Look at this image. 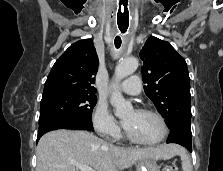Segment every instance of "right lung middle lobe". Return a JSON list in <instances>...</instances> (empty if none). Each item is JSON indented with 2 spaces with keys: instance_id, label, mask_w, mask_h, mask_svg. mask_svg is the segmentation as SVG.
I'll return each instance as SVG.
<instances>
[{
  "instance_id": "right-lung-middle-lobe-1",
  "label": "right lung middle lobe",
  "mask_w": 223,
  "mask_h": 171,
  "mask_svg": "<svg viewBox=\"0 0 223 171\" xmlns=\"http://www.w3.org/2000/svg\"><path fill=\"white\" fill-rule=\"evenodd\" d=\"M97 99L94 94L71 92L42 98L39 123L58 116H73L92 123L91 113Z\"/></svg>"
}]
</instances>
